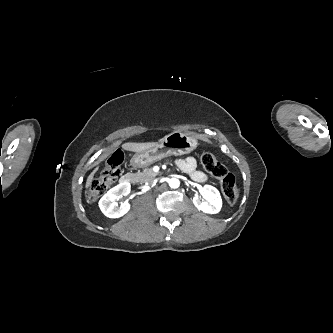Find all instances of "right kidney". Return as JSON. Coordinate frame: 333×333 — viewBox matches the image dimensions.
<instances>
[{"mask_svg": "<svg viewBox=\"0 0 333 333\" xmlns=\"http://www.w3.org/2000/svg\"><path fill=\"white\" fill-rule=\"evenodd\" d=\"M130 188L131 184L129 182H122L111 188L99 201V207L103 214L109 218H119L125 215L130 209V204L124 202L118 206L115 200L128 195Z\"/></svg>", "mask_w": 333, "mask_h": 333, "instance_id": "right-kidney-1", "label": "right kidney"}]
</instances>
